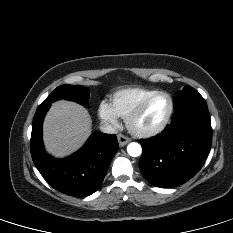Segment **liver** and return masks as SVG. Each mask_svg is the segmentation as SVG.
<instances>
[{
	"label": "liver",
	"instance_id": "1",
	"mask_svg": "<svg viewBox=\"0 0 233 233\" xmlns=\"http://www.w3.org/2000/svg\"><path fill=\"white\" fill-rule=\"evenodd\" d=\"M92 132V120L87 110L71 101L52 104L43 124V140L49 154L57 158L77 151Z\"/></svg>",
	"mask_w": 233,
	"mask_h": 233
}]
</instances>
